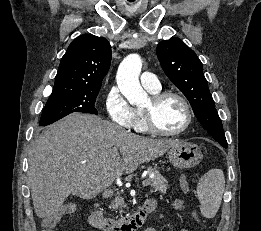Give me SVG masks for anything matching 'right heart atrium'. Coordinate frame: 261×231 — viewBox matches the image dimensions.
Segmentation results:
<instances>
[{"label":"right heart atrium","instance_id":"d8ad5b80","mask_svg":"<svg viewBox=\"0 0 261 231\" xmlns=\"http://www.w3.org/2000/svg\"><path fill=\"white\" fill-rule=\"evenodd\" d=\"M105 108L111 121L123 129H131L135 122V109L128 103L118 87L113 86L105 98Z\"/></svg>","mask_w":261,"mask_h":231}]
</instances>
